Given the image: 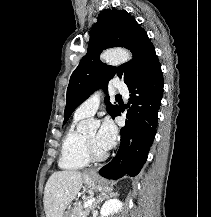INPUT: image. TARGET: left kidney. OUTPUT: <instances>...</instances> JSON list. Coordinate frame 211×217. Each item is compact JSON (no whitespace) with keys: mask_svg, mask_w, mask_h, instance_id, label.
<instances>
[{"mask_svg":"<svg viewBox=\"0 0 211 217\" xmlns=\"http://www.w3.org/2000/svg\"><path fill=\"white\" fill-rule=\"evenodd\" d=\"M122 206V202L116 198L107 200L101 207V217H109L110 215L118 213Z\"/></svg>","mask_w":211,"mask_h":217,"instance_id":"5707ae66","label":"left kidney"}]
</instances>
